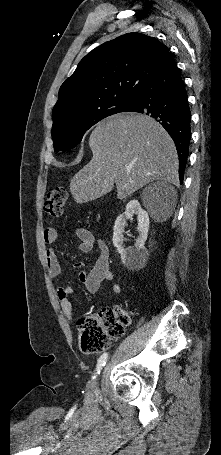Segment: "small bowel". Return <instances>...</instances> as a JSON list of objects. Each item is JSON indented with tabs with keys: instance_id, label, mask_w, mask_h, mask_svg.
<instances>
[{
	"instance_id": "c3829d8e",
	"label": "small bowel",
	"mask_w": 221,
	"mask_h": 455,
	"mask_svg": "<svg viewBox=\"0 0 221 455\" xmlns=\"http://www.w3.org/2000/svg\"><path fill=\"white\" fill-rule=\"evenodd\" d=\"M76 236L79 240L78 249L81 252H91L95 245L98 246V256L94 267L87 273L84 271V264L82 262H75L73 265L78 269L79 280L84 284L88 292L95 294L99 291L102 282L111 283L112 291L115 294H120L122 289L117 283H114V276L109 268V251L108 247L103 241L96 242L93 234L83 228L78 227L75 231ZM44 241L47 244H52L57 238L56 229L54 227H48L44 230ZM45 260L47 264V271L51 277H56L60 274L61 268L58 261L57 251L54 247H49L45 251ZM73 289L68 285H61L57 288V296L59 299L60 307L65 318L71 322L73 320V305H72Z\"/></svg>"
}]
</instances>
